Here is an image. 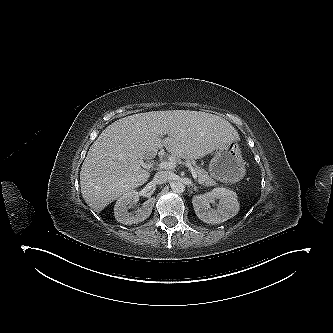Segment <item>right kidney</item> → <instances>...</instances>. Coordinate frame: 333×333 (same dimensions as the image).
<instances>
[{
    "mask_svg": "<svg viewBox=\"0 0 333 333\" xmlns=\"http://www.w3.org/2000/svg\"><path fill=\"white\" fill-rule=\"evenodd\" d=\"M139 201V193L136 190H130L124 193L114 206L115 219L125 225L137 224L148 218L154 206V199H148L138 208L136 213L128 212L131 205Z\"/></svg>",
    "mask_w": 333,
    "mask_h": 333,
    "instance_id": "ca27d5eb",
    "label": "right kidney"
}]
</instances>
